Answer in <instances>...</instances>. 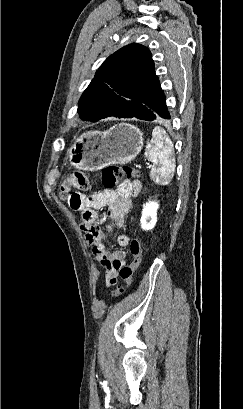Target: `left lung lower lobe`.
<instances>
[{
    "instance_id": "1",
    "label": "left lung lower lobe",
    "mask_w": 243,
    "mask_h": 409,
    "mask_svg": "<svg viewBox=\"0 0 243 409\" xmlns=\"http://www.w3.org/2000/svg\"><path fill=\"white\" fill-rule=\"evenodd\" d=\"M124 114H116L113 112L105 114L101 119L106 117H119V118H138L146 121H153L159 116L164 119H170L168 112L165 95L160 87V84L146 94L141 100L128 104L124 108Z\"/></svg>"
}]
</instances>
